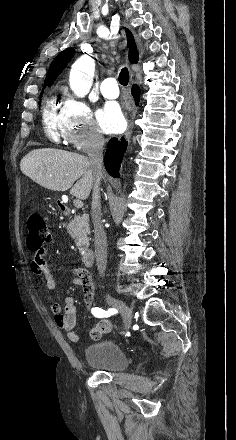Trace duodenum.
Segmentation results:
<instances>
[{
    "mask_svg": "<svg viewBox=\"0 0 236 440\" xmlns=\"http://www.w3.org/2000/svg\"><path fill=\"white\" fill-rule=\"evenodd\" d=\"M58 206L63 213H68V207L64 201H58ZM82 264L86 268H91L94 264V252L91 249H87L81 256Z\"/></svg>",
    "mask_w": 236,
    "mask_h": 440,
    "instance_id": "410a0bca",
    "label": "duodenum"
}]
</instances>
